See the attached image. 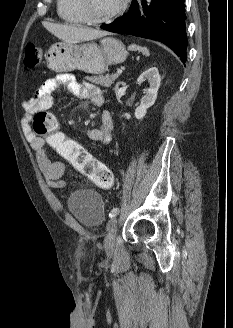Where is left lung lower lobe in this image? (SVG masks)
I'll list each match as a JSON object with an SVG mask.
<instances>
[{"label":"left lung lower lobe","instance_id":"left-lung-lower-lobe-1","mask_svg":"<svg viewBox=\"0 0 233 328\" xmlns=\"http://www.w3.org/2000/svg\"><path fill=\"white\" fill-rule=\"evenodd\" d=\"M185 20L184 0H133L127 15L100 27L162 42L185 62Z\"/></svg>","mask_w":233,"mask_h":328}]
</instances>
